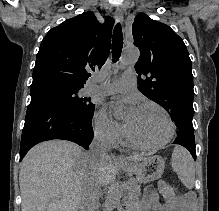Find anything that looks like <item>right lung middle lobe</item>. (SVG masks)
<instances>
[{"mask_svg":"<svg viewBox=\"0 0 219 211\" xmlns=\"http://www.w3.org/2000/svg\"><path fill=\"white\" fill-rule=\"evenodd\" d=\"M80 88L70 87L60 84H51L44 86L33 93H49L57 96L67 106L75 112L85 115H91L94 112L95 105L90 102V98H79L77 92Z\"/></svg>","mask_w":219,"mask_h":211,"instance_id":"dd1d6c3e","label":"right lung middle lobe"}]
</instances>
